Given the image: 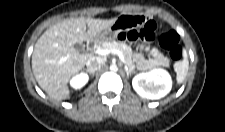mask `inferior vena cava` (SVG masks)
<instances>
[{
  "label": "inferior vena cava",
  "instance_id": "obj_1",
  "mask_svg": "<svg viewBox=\"0 0 225 132\" xmlns=\"http://www.w3.org/2000/svg\"><path fill=\"white\" fill-rule=\"evenodd\" d=\"M105 63V59L101 57H91L87 62L86 65L90 72L99 70L102 65Z\"/></svg>",
  "mask_w": 225,
  "mask_h": 132
}]
</instances>
